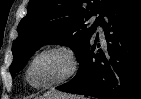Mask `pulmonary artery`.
<instances>
[{"mask_svg":"<svg viewBox=\"0 0 141 99\" xmlns=\"http://www.w3.org/2000/svg\"><path fill=\"white\" fill-rule=\"evenodd\" d=\"M96 19H97V16H94V17L92 18L93 21L96 20ZM97 32H98L100 35L103 34L102 27H101L100 25L97 27Z\"/></svg>","mask_w":141,"mask_h":99,"instance_id":"obj_1","label":"pulmonary artery"}]
</instances>
